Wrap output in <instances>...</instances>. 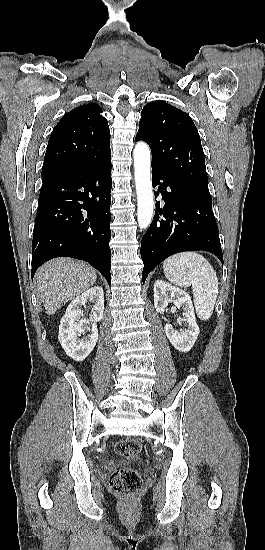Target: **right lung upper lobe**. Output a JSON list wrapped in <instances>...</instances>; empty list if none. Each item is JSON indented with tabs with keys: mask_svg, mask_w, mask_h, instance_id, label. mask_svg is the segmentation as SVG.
Returning <instances> with one entry per match:
<instances>
[{
	"mask_svg": "<svg viewBox=\"0 0 265 550\" xmlns=\"http://www.w3.org/2000/svg\"><path fill=\"white\" fill-rule=\"evenodd\" d=\"M99 105L89 103L65 114L49 138L42 182L61 173L93 167L111 158L110 130Z\"/></svg>",
	"mask_w": 265,
	"mask_h": 550,
	"instance_id": "1",
	"label": "right lung upper lobe"
}]
</instances>
